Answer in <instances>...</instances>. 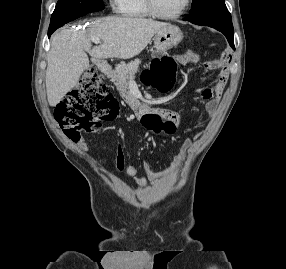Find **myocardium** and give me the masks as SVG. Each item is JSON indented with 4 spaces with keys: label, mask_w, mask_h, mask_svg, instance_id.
<instances>
[{
    "label": "myocardium",
    "mask_w": 286,
    "mask_h": 269,
    "mask_svg": "<svg viewBox=\"0 0 286 269\" xmlns=\"http://www.w3.org/2000/svg\"><path fill=\"white\" fill-rule=\"evenodd\" d=\"M144 4H145V7H146L147 11L149 12V14L151 16H153L155 18H159V19L171 20V19H176V18L181 17L187 11V9L190 7L191 0H185L184 5L182 6V8L179 11H177L176 13H173V14H163V13H161L157 9L154 0H144Z\"/></svg>",
    "instance_id": "myocardium-1"
}]
</instances>
